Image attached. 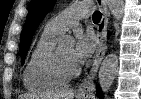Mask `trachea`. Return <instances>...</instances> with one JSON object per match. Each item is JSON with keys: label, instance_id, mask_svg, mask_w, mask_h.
Listing matches in <instances>:
<instances>
[{"label": "trachea", "instance_id": "3493384b", "mask_svg": "<svg viewBox=\"0 0 141 99\" xmlns=\"http://www.w3.org/2000/svg\"><path fill=\"white\" fill-rule=\"evenodd\" d=\"M93 22H99L101 20V13L99 11H95L92 16Z\"/></svg>", "mask_w": 141, "mask_h": 99}]
</instances>
